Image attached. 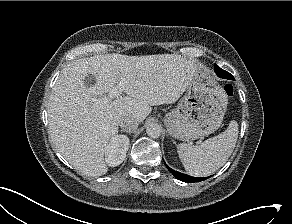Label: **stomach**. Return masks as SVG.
I'll return each instance as SVG.
<instances>
[{
  "mask_svg": "<svg viewBox=\"0 0 292 224\" xmlns=\"http://www.w3.org/2000/svg\"><path fill=\"white\" fill-rule=\"evenodd\" d=\"M228 97L208 71L198 66L186 96L165 117L169 134L182 141L196 140L215 132L226 113Z\"/></svg>",
  "mask_w": 292,
  "mask_h": 224,
  "instance_id": "0dacf381",
  "label": "stomach"
}]
</instances>
